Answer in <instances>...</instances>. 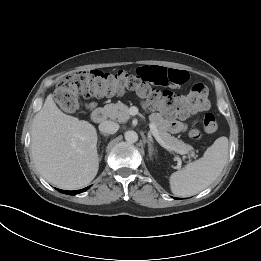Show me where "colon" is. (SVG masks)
I'll list each match as a JSON object with an SVG mask.
<instances>
[{
  "label": "colon",
  "mask_w": 261,
  "mask_h": 261,
  "mask_svg": "<svg viewBox=\"0 0 261 261\" xmlns=\"http://www.w3.org/2000/svg\"><path fill=\"white\" fill-rule=\"evenodd\" d=\"M134 91L145 98L153 107L161 110L167 117L187 116L206 110L209 106L208 88L203 83H195L186 94L170 90L159 91L151 88L139 75L120 70L114 73L101 70L79 71L61 79L55 90V101L67 113H74L79 108V96L100 98ZM206 132L214 133L217 120L211 113L203 117ZM193 139L200 138V132L193 129Z\"/></svg>",
  "instance_id": "5ec220e1"
}]
</instances>
